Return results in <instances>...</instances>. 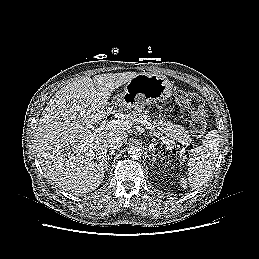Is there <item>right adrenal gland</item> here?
I'll use <instances>...</instances> for the list:
<instances>
[{"label": "right adrenal gland", "mask_w": 259, "mask_h": 259, "mask_svg": "<svg viewBox=\"0 0 259 259\" xmlns=\"http://www.w3.org/2000/svg\"><path fill=\"white\" fill-rule=\"evenodd\" d=\"M115 150H111L108 152V154L106 155L105 159H104V165H105V169L107 170L109 167V163H110V157L114 154Z\"/></svg>", "instance_id": "1"}]
</instances>
